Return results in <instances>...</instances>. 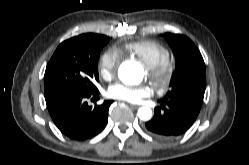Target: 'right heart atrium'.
<instances>
[{"instance_id":"right-heart-atrium-1","label":"right heart atrium","mask_w":249,"mask_h":165,"mask_svg":"<svg viewBox=\"0 0 249 165\" xmlns=\"http://www.w3.org/2000/svg\"><path fill=\"white\" fill-rule=\"evenodd\" d=\"M120 63V55L117 49L109 48L106 50L98 64L99 75L102 79L109 81L116 75Z\"/></svg>"}]
</instances>
